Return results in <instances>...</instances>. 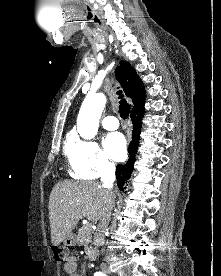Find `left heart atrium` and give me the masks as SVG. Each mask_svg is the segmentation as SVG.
I'll list each match as a JSON object with an SVG mask.
<instances>
[{"label":"left heart atrium","instance_id":"obj_1","mask_svg":"<svg viewBox=\"0 0 221 276\" xmlns=\"http://www.w3.org/2000/svg\"><path fill=\"white\" fill-rule=\"evenodd\" d=\"M107 154L116 161H121L126 156V140L121 133H111L104 141Z\"/></svg>","mask_w":221,"mask_h":276}]
</instances>
